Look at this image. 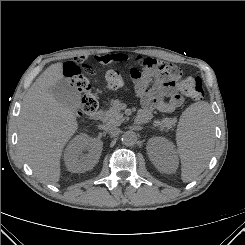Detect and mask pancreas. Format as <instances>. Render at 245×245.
<instances>
[{
    "label": "pancreas",
    "instance_id": "cf45deb5",
    "mask_svg": "<svg viewBox=\"0 0 245 245\" xmlns=\"http://www.w3.org/2000/svg\"><path fill=\"white\" fill-rule=\"evenodd\" d=\"M123 114L121 113L120 109V101L115 100L112 102L111 107L108 108L103 113L102 121L106 125H120L123 122ZM177 120L175 118H163L161 121H155L154 126H160V128H172L175 126Z\"/></svg>",
    "mask_w": 245,
    "mask_h": 245
}]
</instances>
